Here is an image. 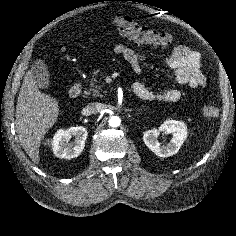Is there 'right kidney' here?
Segmentation results:
<instances>
[{
    "instance_id": "right-kidney-1",
    "label": "right kidney",
    "mask_w": 236,
    "mask_h": 236,
    "mask_svg": "<svg viewBox=\"0 0 236 236\" xmlns=\"http://www.w3.org/2000/svg\"><path fill=\"white\" fill-rule=\"evenodd\" d=\"M87 135V129L82 126L58 130L52 140L53 153L58 158L72 159L78 157L84 149ZM71 137L75 139L69 143Z\"/></svg>"
}]
</instances>
